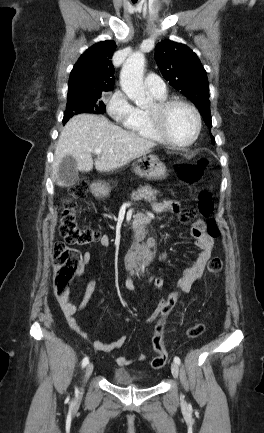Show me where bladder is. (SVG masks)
Instances as JSON below:
<instances>
[{"label": "bladder", "mask_w": 264, "mask_h": 433, "mask_svg": "<svg viewBox=\"0 0 264 433\" xmlns=\"http://www.w3.org/2000/svg\"><path fill=\"white\" fill-rule=\"evenodd\" d=\"M112 380L122 386H140L142 383V379L135 372L123 368L113 371Z\"/></svg>", "instance_id": "obj_1"}]
</instances>
